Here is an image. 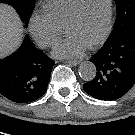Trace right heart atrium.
Returning a JSON list of instances; mask_svg holds the SVG:
<instances>
[{
	"instance_id": "right-heart-atrium-1",
	"label": "right heart atrium",
	"mask_w": 135,
	"mask_h": 135,
	"mask_svg": "<svg viewBox=\"0 0 135 135\" xmlns=\"http://www.w3.org/2000/svg\"><path fill=\"white\" fill-rule=\"evenodd\" d=\"M28 29L32 38L43 48L54 46L60 37L59 27L44 11L31 16Z\"/></svg>"
}]
</instances>
